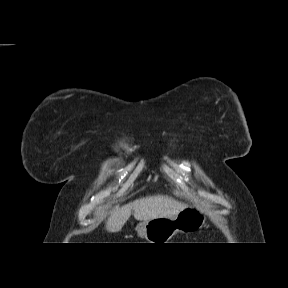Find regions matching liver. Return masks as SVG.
<instances>
[{"label": "liver", "mask_w": 288, "mask_h": 288, "mask_svg": "<svg viewBox=\"0 0 288 288\" xmlns=\"http://www.w3.org/2000/svg\"><path fill=\"white\" fill-rule=\"evenodd\" d=\"M186 207L185 203L168 195L143 197L114 209L105 223V228L108 232L120 231L132 213L136 220L148 221L157 217H173Z\"/></svg>", "instance_id": "obj_1"}]
</instances>
